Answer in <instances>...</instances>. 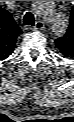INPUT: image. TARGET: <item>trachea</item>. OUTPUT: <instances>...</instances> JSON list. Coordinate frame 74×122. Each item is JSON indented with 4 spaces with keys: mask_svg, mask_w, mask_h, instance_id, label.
<instances>
[{
    "mask_svg": "<svg viewBox=\"0 0 74 122\" xmlns=\"http://www.w3.org/2000/svg\"><path fill=\"white\" fill-rule=\"evenodd\" d=\"M23 23H24V25H27V26H34V24H35L34 15L31 12H27L24 15Z\"/></svg>",
    "mask_w": 74,
    "mask_h": 122,
    "instance_id": "3493384b",
    "label": "trachea"
}]
</instances>
